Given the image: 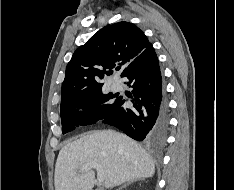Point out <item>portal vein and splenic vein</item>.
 I'll list each match as a JSON object with an SVG mask.
<instances>
[{
  "instance_id": "portal-vein-and-splenic-vein-1",
  "label": "portal vein and splenic vein",
  "mask_w": 234,
  "mask_h": 190,
  "mask_svg": "<svg viewBox=\"0 0 234 190\" xmlns=\"http://www.w3.org/2000/svg\"><path fill=\"white\" fill-rule=\"evenodd\" d=\"M91 169H95L97 171V179L100 183H103L105 181V175H104L101 167L99 166V164H97V163L86 164L81 168V171L87 172Z\"/></svg>"
}]
</instances>
